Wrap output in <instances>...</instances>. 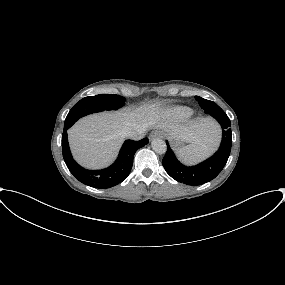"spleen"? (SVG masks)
I'll use <instances>...</instances> for the list:
<instances>
[{
    "instance_id": "obj_1",
    "label": "spleen",
    "mask_w": 285,
    "mask_h": 285,
    "mask_svg": "<svg viewBox=\"0 0 285 285\" xmlns=\"http://www.w3.org/2000/svg\"><path fill=\"white\" fill-rule=\"evenodd\" d=\"M218 132V129H217ZM219 133L209 141L199 145L190 144L177 151L178 157L186 164L199 162L213 153L219 142Z\"/></svg>"
}]
</instances>
